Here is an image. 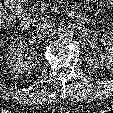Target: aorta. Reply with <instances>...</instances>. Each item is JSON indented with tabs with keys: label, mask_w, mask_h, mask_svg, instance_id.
I'll return each instance as SVG.
<instances>
[{
	"label": "aorta",
	"mask_w": 113,
	"mask_h": 113,
	"mask_svg": "<svg viewBox=\"0 0 113 113\" xmlns=\"http://www.w3.org/2000/svg\"><path fill=\"white\" fill-rule=\"evenodd\" d=\"M60 40H70L74 36V27L71 24L62 25L57 32Z\"/></svg>",
	"instance_id": "aorta-1"
}]
</instances>
